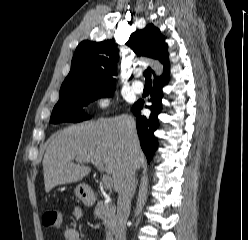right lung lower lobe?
<instances>
[{
    "instance_id": "obj_1",
    "label": "right lung lower lobe",
    "mask_w": 248,
    "mask_h": 240,
    "mask_svg": "<svg viewBox=\"0 0 248 240\" xmlns=\"http://www.w3.org/2000/svg\"><path fill=\"white\" fill-rule=\"evenodd\" d=\"M168 81L169 74L165 77H159L154 80L150 98L152 105L146 106L151 110L150 116L146 117L141 115V109L144 101L139 100L132 107V112L137 118V131L140 138V145L147 157L148 162H150L153 153L158 146L157 138L154 136V131L159 126L158 115L162 110V88L168 84Z\"/></svg>"
}]
</instances>
